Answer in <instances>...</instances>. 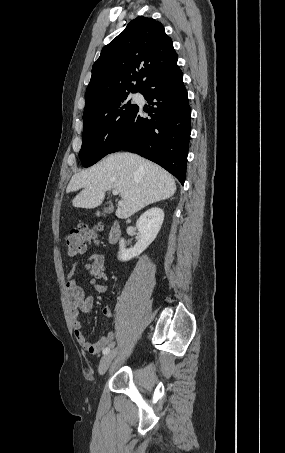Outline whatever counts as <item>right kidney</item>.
<instances>
[{"label": "right kidney", "mask_w": 285, "mask_h": 453, "mask_svg": "<svg viewBox=\"0 0 285 453\" xmlns=\"http://www.w3.org/2000/svg\"><path fill=\"white\" fill-rule=\"evenodd\" d=\"M164 221V211L161 208L153 207L144 212L136 222L140 233V240L133 248H125V240L119 242L118 259L129 261L138 257L156 238Z\"/></svg>", "instance_id": "obj_1"}]
</instances>
